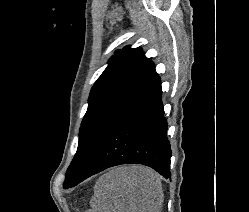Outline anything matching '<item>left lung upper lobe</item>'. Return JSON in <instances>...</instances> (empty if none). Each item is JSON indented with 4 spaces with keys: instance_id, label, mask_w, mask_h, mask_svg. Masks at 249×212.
Returning a JSON list of instances; mask_svg holds the SVG:
<instances>
[{
    "instance_id": "5c2ea615",
    "label": "left lung upper lobe",
    "mask_w": 249,
    "mask_h": 212,
    "mask_svg": "<svg viewBox=\"0 0 249 212\" xmlns=\"http://www.w3.org/2000/svg\"><path fill=\"white\" fill-rule=\"evenodd\" d=\"M156 75L154 63L140 48L126 46L110 58L91 89L88 109L79 130L78 149L63 187L79 178L107 133Z\"/></svg>"
}]
</instances>
